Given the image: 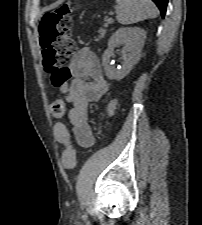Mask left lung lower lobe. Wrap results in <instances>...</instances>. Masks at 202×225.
<instances>
[{
    "instance_id": "obj_1",
    "label": "left lung lower lobe",
    "mask_w": 202,
    "mask_h": 225,
    "mask_svg": "<svg viewBox=\"0 0 202 225\" xmlns=\"http://www.w3.org/2000/svg\"><path fill=\"white\" fill-rule=\"evenodd\" d=\"M154 3H156V5L158 6V8L161 11V15L162 17L165 16V12H166V7H167V3L168 0H152Z\"/></svg>"
}]
</instances>
